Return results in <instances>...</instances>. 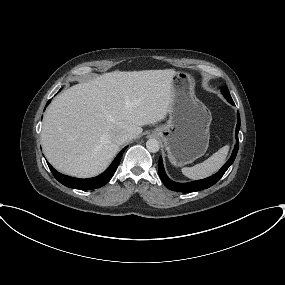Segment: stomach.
Here are the masks:
<instances>
[{"mask_svg": "<svg viewBox=\"0 0 285 285\" xmlns=\"http://www.w3.org/2000/svg\"><path fill=\"white\" fill-rule=\"evenodd\" d=\"M195 80L187 72L173 77V98L166 124L153 130L177 167L192 163L203 156L209 146L210 110L195 96Z\"/></svg>", "mask_w": 285, "mask_h": 285, "instance_id": "1", "label": "stomach"}]
</instances>
